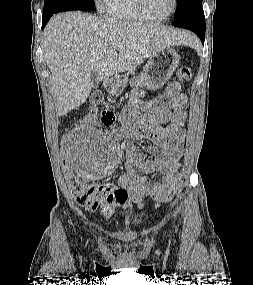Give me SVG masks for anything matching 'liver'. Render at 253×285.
<instances>
[{
  "label": "liver",
  "mask_w": 253,
  "mask_h": 285,
  "mask_svg": "<svg viewBox=\"0 0 253 285\" xmlns=\"http://www.w3.org/2000/svg\"><path fill=\"white\" fill-rule=\"evenodd\" d=\"M190 39L188 33L165 26L79 11L53 16L44 31V50L58 116L86 101L93 87L92 71L98 80L108 79L137 67L160 48L183 45Z\"/></svg>",
  "instance_id": "1"
}]
</instances>
